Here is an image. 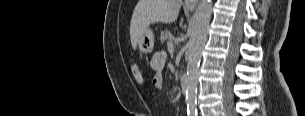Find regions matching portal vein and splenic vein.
I'll return each mask as SVG.
<instances>
[{
    "instance_id": "18ae733b",
    "label": "portal vein and splenic vein",
    "mask_w": 305,
    "mask_h": 116,
    "mask_svg": "<svg viewBox=\"0 0 305 116\" xmlns=\"http://www.w3.org/2000/svg\"><path fill=\"white\" fill-rule=\"evenodd\" d=\"M167 46H168L169 52H173V51H174V47H173L172 41H169L168 44H167Z\"/></svg>"
}]
</instances>
